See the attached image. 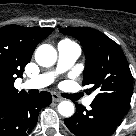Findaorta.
<instances>
[{
    "instance_id": "762f6f07",
    "label": "aorta",
    "mask_w": 136,
    "mask_h": 136,
    "mask_svg": "<svg viewBox=\"0 0 136 136\" xmlns=\"http://www.w3.org/2000/svg\"><path fill=\"white\" fill-rule=\"evenodd\" d=\"M36 62L43 67H50L57 60L55 48L48 44L40 45L35 52ZM58 112L65 117H70L74 113V104L70 101H62L58 105Z\"/></svg>"
}]
</instances>
